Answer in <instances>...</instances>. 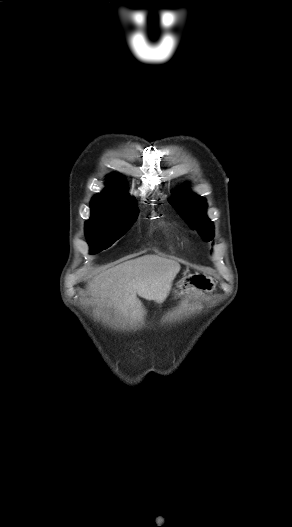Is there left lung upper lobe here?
<instances>
[{
  "instance_id": "1",
  "label": "left lung upper lobe",
  "mask_w": 292,
  "mask_h": 527,
  "mask_svg": "<svg viewBox=\"0 0 292 527\" xmlns=\"http://www.w3.org/2000/svg\"><path fill=\"white\" fill-rule=\"evenodd\" d=\"M171 202L180 216L200 233L204 241L208 242L213 238V225L206 216L207 204L203 198L179 190Z\"/></svg>"
}]
</instances>
